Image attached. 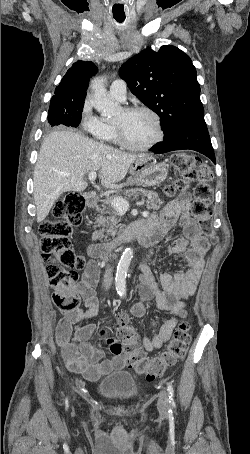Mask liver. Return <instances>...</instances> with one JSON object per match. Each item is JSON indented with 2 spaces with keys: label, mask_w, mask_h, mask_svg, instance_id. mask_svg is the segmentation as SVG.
Instances as JSON below:
<instances>
[{
  "label": "liver",
  "mask_w": 250,
  "mask_h": 454,
  "mask_svg": "<svg viewBox=\"0 0 250 454\" xmlns=\"http://www.w3.org/2000/svg\"><path fill=\"white\" fill-rule=\"evenodd\" d=\"M139 157L95 142L81 133H50L42 143L34 169L37 222L46 218L63 192L86 189L87 173L99 171V181L104 187L121 188L117 183Z\"/></svg>",
  "instance_id": "obj_1"
}]
</instances>
